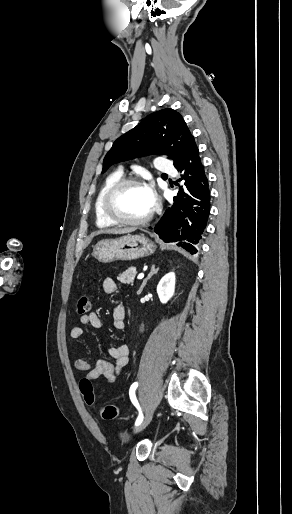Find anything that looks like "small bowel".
Masks as SVG:
<instances>
[{
    "label": "small bowel",
    "mask_w": 292,
    "mask_h": 514,
    "mask_svg": "<svg viewBox=\"0 0 292 514\" xmlns=\"http://www.w3.org/2000/svg\"><path fill=\"white\" fill-rule=\"evenodd\" d=\"M102 287L104 292L109 295L117 294L119 291L116 281L111 277L103 280ZM125 317V306L123 304H116L113 307V327L116 330L125 329ZM80 323L95 329L102 327V320L95 312L81 316ZM84 334L85 331L80 326L73 327L69 333L72 339H80ZM108 352L113 361L99 360L93 365L85 359H76L74 361V368L78 371L86 372L84 379L94 381L103 377L106 383H113L122 369L128 364L129 347L126 344L114 345L108 349Z\"/></svg>",
    "instance_id": "small-bowel-1"
}]
</instances>
